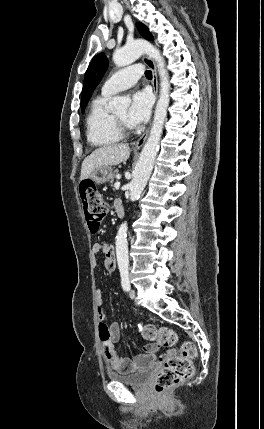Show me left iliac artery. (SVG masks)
<instances>
[{"label": "left iliac artery", "mask_w": 264, "mask_h": 429, "mask_svg": "<svg viewBox=\"0 0 264 429\" xmlns=\"http://www.w3.org/2000/svg\"><path fill=\"white\" fill-rule=\"evenodd\" d=\"M121 274V285L125 291L130 290V281H129V271L127 268H122L120 270Z\"/></svg>", "instance_id": "left-iliac-artery-1"}]
</instances>
